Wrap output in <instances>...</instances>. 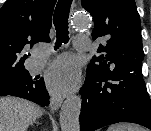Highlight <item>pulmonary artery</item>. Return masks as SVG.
Returning <instances> with one entry per match:
<instances>
[{
    "label": "pulmonary artery",
    "instance_id": "pulmonary-artery-1",
    "mask_svg": "<svg viewBox=\"0 0 151 131\" xmlns=\"http://www.w3.org/2000/svg\"><path fill=\"white\" fill-rule=\"evenodd\" d=\"M75 46L77 49L87 50L90 47V39L85 35H78L76 37ZM49 55H50V51L48 49L38 51L36 53L34 68L35 69L42 68L45 65V62L47 61Z\"/></svg>",
    "mask_w": 151,
    "mask_h": 131
}]
</instances>
